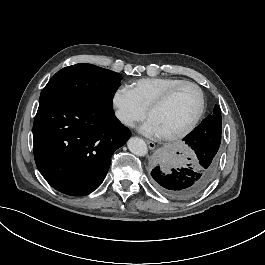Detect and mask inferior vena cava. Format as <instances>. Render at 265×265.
Returning a JSON list of instances; mask_svg holds the SVG:
<instances>
[{
    "label": "inferior vena cava",
    "instance_id": "602c4592",
    "mask_svg": "<svg viewBox=\"0 0 265 265\" xmlns=\"http://www.w3.org/2000/svg\"><path fill=\"white\" fill-rule=\"evenodd\" d=\"M124 122H125L126 124H127V123H129V121H128V120H125Z\"/></svg>",
    "mask_w": 265,
    "mask_h": 265
}]
</instances>
